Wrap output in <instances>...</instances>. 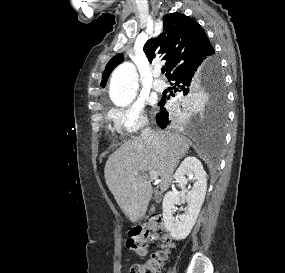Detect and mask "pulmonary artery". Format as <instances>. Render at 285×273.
Here are the masks:
<instances>
[{
    "instance_id": "obj_1",
    "label": "pulmonary artery",
    "mask_w": 285,
    "mask_h": 273,
    "mask_svg": "<svg viewBox=\"0 0 285 273\" xmlns=\"http://www.w3.org/2000/svg\"><path fill=\"white\" fill-rule=\"evenodd\" d=\"M153 83L152 87L155 91L161 92L166 89V83L160 78V69L156 68L153 71Z\"/></svg>"
}]
</instances>
